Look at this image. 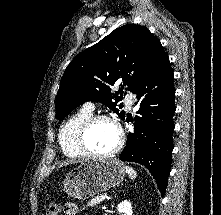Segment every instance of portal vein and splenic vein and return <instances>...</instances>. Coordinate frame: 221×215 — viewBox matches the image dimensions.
I'll use <instances>...</instances> for the list:
<instances>
[{"mask_svg": "<svg viewBox=\"0 0 221 215\" xmlns=\"http://www.w3.org/2000/svg\"><path fill=\"white\" fill-rule=\"evenodd\" d=\"M106 198H107V195H102L101 196V199H103V200L106 199Z\"/></svg>", "mask_w": 221, "mask_h": 215, "instance_id": "obj_1", "label": "portal vein and splenic vein"}]
</instances>
